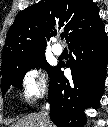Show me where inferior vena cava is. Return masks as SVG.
Returning <instances> with one entry per match:
<instances>
[{
    "label": "inferior vena cava",
    "mask_w": 108,
    "mask_h": 127,
    "mask_svg": "<svg viewBox=\"0 0 108 127\" xmlns=\"http://www.w3.org/2000/svg\"><path fill=\"white\" fill-rule=\"evenodd\" d=\"M49 111H50V105L47 103L45 108H44V111L42 112V115L44 117H46L48 120H49Z\"/></svg>",
    "instance_id": "1"
}]
</instances>
